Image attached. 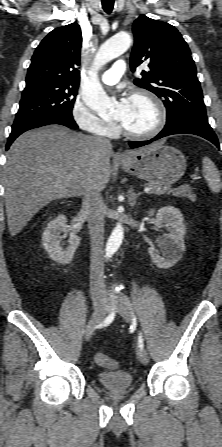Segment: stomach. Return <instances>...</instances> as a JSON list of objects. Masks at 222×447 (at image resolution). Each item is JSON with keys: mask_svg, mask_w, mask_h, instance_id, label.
Here are the masks:
<instances>
[{"mask_svg": "<svg viewBox=\"0 0 222 447\" xmlns=\"http://www.w3.org/2000/svg\"><path fill=\"white\" fill-rule=\"evenodd\" d=\"M130 175L156 185H170L179 180L186 170V159L176 148L151 144L136 154H128L119 161Z\"/></svg>", "mask_w": 222, "mask_h": 447, "instance_id": "0dacf381", "label": "stomach"}]
</instances>
